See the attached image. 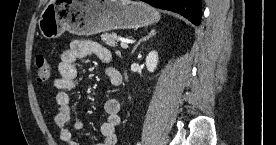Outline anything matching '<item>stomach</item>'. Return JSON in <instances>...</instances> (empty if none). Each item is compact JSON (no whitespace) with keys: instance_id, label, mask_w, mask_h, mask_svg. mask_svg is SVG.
<instances>
[{"instance_id":"0dacf381","label":"stomach","mask_w":276,"mask_h":145,"mask_svg":"<svg viewBox=\"0 0 276 145\" xmlns=\"http://www.w3.org/2000/svg\"><path fill=\"white\" fill-rule=\"evenodd\" d=\"M153 7L131 0H51L42 10L39 30L46 39L65 31L90 36L113 29H132L158 22Z\"/></svg>"}]
</instances>
